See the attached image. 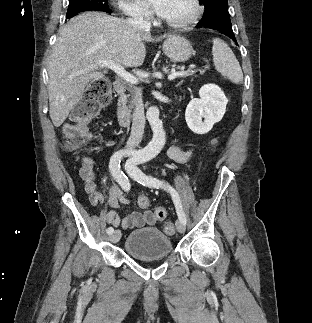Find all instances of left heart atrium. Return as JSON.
I'll list each match as a JSON object with an SVG mask.
<instances>
[{"instance_id":"39dd6f15","label":"left heart atrium","mask_w":312,"mask_h":323,"mask_svg":"<svg viewBox=\"0 0 312 323\" xmlns=\"http://www.w3.org/2000/svg\"><path fill=\"white\" fill-rule=\"evenodd\" d=\"M145 8H156L157 12H171V5H165L168 0H141Z\"/></svg>"}]
</instances>
